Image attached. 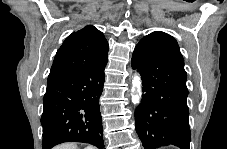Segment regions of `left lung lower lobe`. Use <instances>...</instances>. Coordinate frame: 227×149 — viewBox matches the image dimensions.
<instances>
[{
    "label": "left lung lower lobe",
    "mask_w": 227,
    "mask_h": 149,
    "mask_svg": "<svg viewBox=\"0 0 227 149\" xmlns=\"http://www.w3.org/2000/svg\"><path fill=\"white\" fill-rule=\"evenodd\" d=\"M131 64L140 72L145 92L135 112L144 149L166 145L189 149L187 74L176 40L161 31L150 33L135 47Z\"/></svg>",
    "instance_id": "left-lung-lower-lobe-1"
}]
</instances>
